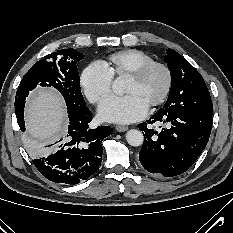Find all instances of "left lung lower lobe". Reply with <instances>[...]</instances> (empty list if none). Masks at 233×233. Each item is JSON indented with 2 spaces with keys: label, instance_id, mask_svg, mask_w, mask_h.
<instances>
[{
  "label": "left lung lower lobe",
  "instance_id": "1",
  "mask_svg": "<svg viewBox=\"0 0 233 233\" xmlns=\"http://www.w3.org/2000/svg\"><path fill=\"white\" fill-rule=\"evenodd\" d=\"M155 122L168 127L157 132L148 127ZM212 123V117L195 112L159 109L150 120L138 124L144 135L140 163L148 172L164 177L184 173L206 147Z\"/></svg>",
  "mask_w": 233,
  "mask_h": 233
}]
</instances>
